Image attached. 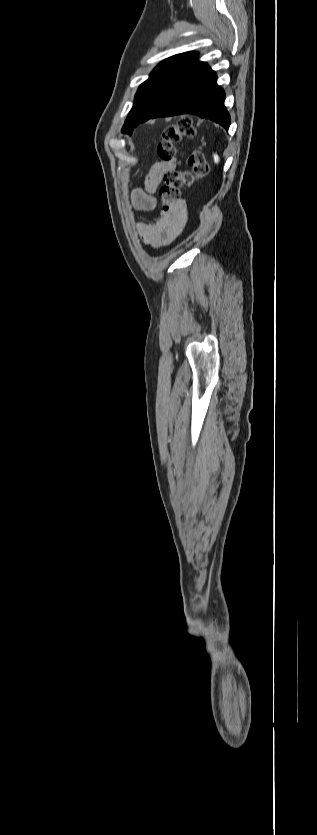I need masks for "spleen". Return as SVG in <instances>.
Instances as JSON below:
<instances>
[{"label":"spleen","instance_id":"obj_1","mask_svg":"<svg viewBox=\"0 0 317 835\" xmlns=\"http://www.w3.org/2000/svg\"><path fill=\"white\" fill-rule=\"evenodd\" d=\"M213 158H214V162L218 164V163H219V161H220L219 156H218L217 154H214V155H213Z\"/></svg>","mask_w":317,"mask_h":835}]
</instances>
